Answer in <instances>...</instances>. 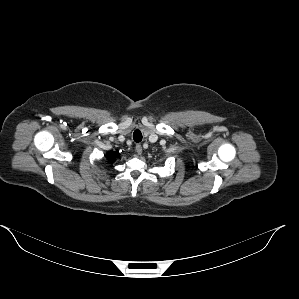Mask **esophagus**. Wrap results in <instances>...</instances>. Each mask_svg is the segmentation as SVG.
I'll use <instances>...</instances> for the list:
<instances>
[{"instance_id": "34e87169", "label": "esophagus", "mask_w": 299, "mask_h": 299, "mask_svg": "<svg viewBox=\"0 0 299 299\" xmlns=\"http://www.w3.org/2000/svg\"><path fill=\"white\" fill-rule=\"evenodd\" d=\"M135 151H136L137 156L141 155L142 154V146L140 144H137Z\"/></svg>"}]
</instances>
